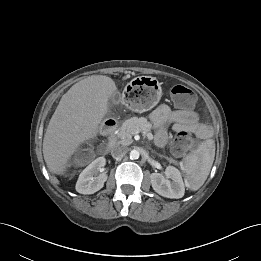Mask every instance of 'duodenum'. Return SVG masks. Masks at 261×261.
<instances>
[{
	"label": "duodenum",
	"instance_id": "duodenum-1",
	"mask_svg": "<svg viewBox=\"0 0 261 261\" xmlns=\"http://www.w3.org/2000/svg\"><path fill=\"white\" fill-rule=\"evenodd\" d=\"M117 128V123L113 118H108L102 124L101 130L108 138V151H111L115 145V130Z\"/></svg>",
	"mask_w": 261,
	"mask_h": 261
}]
</instances>
